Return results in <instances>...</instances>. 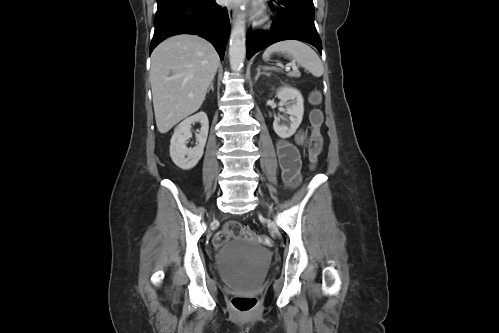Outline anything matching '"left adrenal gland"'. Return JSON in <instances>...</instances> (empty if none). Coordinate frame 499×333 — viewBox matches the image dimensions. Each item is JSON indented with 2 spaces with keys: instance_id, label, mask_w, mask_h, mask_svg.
Returning <instances> with one entry per match:
<instances>
[{
  "instance_id": "obj_1",
  "label": "left adrenal gland",
  "mask_w": 499,
  "mask_h": 333,
  "mask_svg": "<svg viewBox=\"0 0 499 333\" xmlns=\"http://www.w3.org/2000/svg\"><path fill=\"white\" fill-rule=\"evenodd\" d=\"M260 75H268V76H269V74H267V73H265V72H261V71H260V69H259V68H257V75H256V77H255V81H257V80H258V78H259V76H260Z\"/></svg>"
}]
</instances>
